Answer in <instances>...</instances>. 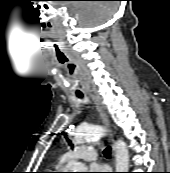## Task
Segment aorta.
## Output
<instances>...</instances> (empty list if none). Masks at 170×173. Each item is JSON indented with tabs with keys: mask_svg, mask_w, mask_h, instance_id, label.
<instances>
[{
	"mask_svg": "<svg viewBox=\"0 0 170 173\" xmlns=\"http://www.w3.org/2000/svg\"><path fill=\"white\" fill-rule=\"evenodd\" d=\"M106 133V129L102 126H88L78 130L75 137L78 144L86 141H95ZM129 151L123 140H118L115 144V160L116 172H128L129 169ZM73 172H86V167L80 162L73 164Z\"/></svg>",
	"mask_w": 170,
	"mask_h": 173,
	"instance_id": "762f6f07",
	"label": "aorta"
}]
</instances>
